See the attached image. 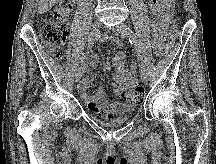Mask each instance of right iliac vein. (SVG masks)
<instances>
[{
    "mask_svg": "<svg viewBox=\"0 0 216 164\" xmlns=\"http://www.w3.org/2000/svg\"><path fill=\"white\" fill-rule=\"evenodd\" d=\"M101 25L102 24L99 20H95L92 24V31H93L92 33L99 32ZM81 76H82V70L79 69V70H77V72L75 74V81L79 82V80L81 79Z\"/></svg>",
    "mask_w": 216,
    "mask_h": 164,
    "instance_id": "1",
    "label": "right iliac vein"
}]
</instances>
